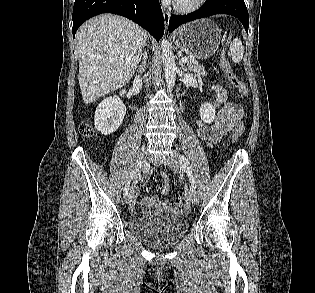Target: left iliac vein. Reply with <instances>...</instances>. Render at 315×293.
Here are the masks:
<instances>
[{"label":"left iliac vein","instance_id":"1","mask_svg":"<svg viewBox=\"0 0 315 293\" xmlns=\"http://www.w3.org/2000/svg\"><path fill=\"white\" fill-rule=\"evenodd\" d=\"M168 166L177 171L180 168V158L178 152L174 151L171 157L168 159ZM188 196L193 204H197L199 201V196L197 191L193 188V186H190Z\"/></svg>","mask_w":315,"mask_h":293}]
</instances>
